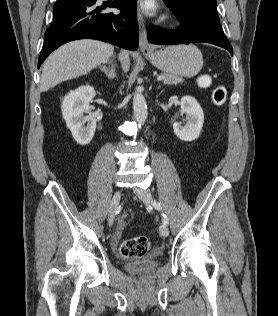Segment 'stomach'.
<instances>
[{
	"label": "stomach",
	"instance_id": "obj_1",
	"mask_svg": "<svg viewBox=\"0 0 278 316\" xmlns=\"http://www.w3.org/2000/svg\"><path fill=\"white\" fill-rule=\"evenodd\" d=\"M146 58L166 74L194 77L203 66V57L194 45H176L146 54Z\"/></svg>",
	"mask_w": 278,
	"mask_h": 316
}]
</instances>
